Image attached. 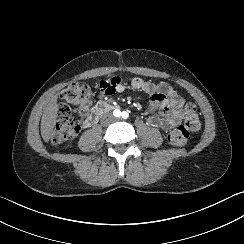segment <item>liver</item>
<instances>
[{"label": "liver", "mask_w": 244, "mask_h": 244, "mask_svg": "<svg viewBox=\"0 0 244 244\" xmlns=\"http://www.w3.org/2000/svg\"><path fill=\"white\" fill-rule=\"evenodd\" d=\"M58 112L57 95H52L41 118V136L45 142L50 140L56 124Z\"/></svg>", "instance_id": "liver-1"}]
</instances>
